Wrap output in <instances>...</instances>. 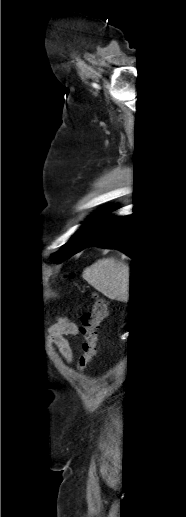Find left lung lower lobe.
<instances>
[{
    "mask_svg": "<svg viewBox=\"0 0 186 517\" xmlns=\"http://www.w3.org/2000/svg\"><path fill=\"white\" fill-rule=\"evenodd\" d=\"M130 236L128 220L125 217L105 215L97 221L91 237L80 250L89 246L118 249L135 259V249L131 246Z\"/></svg>",
    "mask_w": 186,
    "mask_h": 517,
    "instance_id": "left-lung-lower-lobe-1",
    "label": "left lung lower lobe"
}]
</instances>
